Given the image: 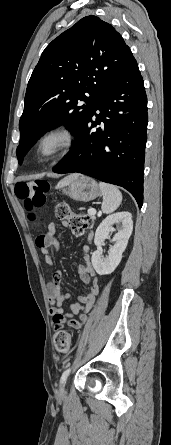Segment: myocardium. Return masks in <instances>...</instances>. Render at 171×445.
<instances>
[{
    "instance_id": "1",
    "label": "myocardium",
    "mask_w": 171,
    "mask_h": 445,
    "mask_svg": "<svg viewBox=\"0 0 171 445\" xmlns=\"http://www.w3.org/2000/svg\"><path fill=\"white\" fill-rule=\"evenodd\" d=\"M53 143V147L49 151H45V146ZM75 143V134L67 125H56L46 130L38 139L35 153L38 158L44 161L57 159L73 147Z\"/></svg>"
}]
</instances>
